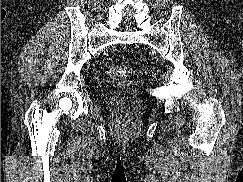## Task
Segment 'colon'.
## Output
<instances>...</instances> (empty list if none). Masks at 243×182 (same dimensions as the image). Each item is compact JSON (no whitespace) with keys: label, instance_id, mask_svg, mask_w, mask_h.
Here are the masks:
<instances>
[{"label":"colon","instance_id":"1","mask_svg":"<svg viewBox=\"0 0 243 182\" xmlns=\"http://www.w3.org/2000/svg\"><path fill=\"white\" fill-rule=\"evenodd\" d=\"M107 73L113 79L125 80L131 76L132 71L121 65H112L108 67Z\"/></svg>","mask_w":243,"mask_h":182}]
</instances>
